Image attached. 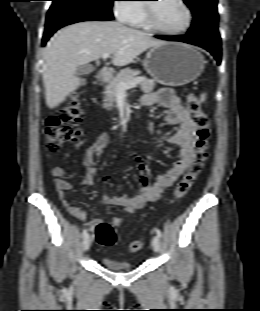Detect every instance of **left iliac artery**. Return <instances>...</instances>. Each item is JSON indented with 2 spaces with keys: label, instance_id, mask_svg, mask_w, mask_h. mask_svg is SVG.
<instances>
[{
  "label": "left iliac artery",
  "instance_id": "left-iliac-artery-1",
  "mask_svg": "<svg viewBox=\"0 0 260 311\" xmlns=\"http://www.w3.org/2000/svg\"><path fill=\"white\" fill-rule=\"evenodd\" d=\"M156 234H157V236H158L159 238L162 236V233H161V231H160L159 229L156 230Z\"/></svg>",
  "mask_w": 260,
  "mask_h": 311
}]
</instances>
